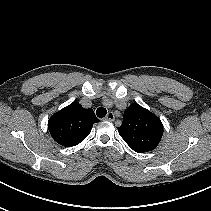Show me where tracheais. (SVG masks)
Instances as JSON below:
<instances>
[{
    "label": "trachea",
    "instance_id": "obj_1",
    "mask_svg": "<svg viewBox=\"0 0 211 211\" xmlns=\"http://www.w3.org/2000/svg\"><path fill=\"white\" fill-rule=\"evenodd\" d=\"M107 113V110L103 107H99L97 110H96V115L97 117L99 118H103Z\"/></svg>",
    "mask_w": 211,
    "mask_h": 211
}]
</instances>
